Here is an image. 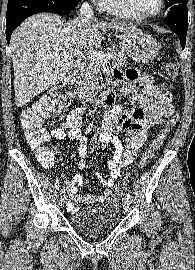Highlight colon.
Returning <instances> with one entry per match:
<instances>
[{
  "instance_id": "colon-1",
  "label": "colon",
  "mask_w": 195,
  "mask_h": 270,
  "mask_svg": "<svg viewBox=\"0 0 195 270\" xmlns=\"http://www.w3.org/2000/svg\"><path fill=\"white\" fill-rule=\"evenodd\" d=\"M167 75L172 79H177L179 69L175 63L169 62L165 66ZM77 83L74 80L53 88L47 95L38 102L22 112L20 124L23 133L32 148L37 151L40 162L45 166H50L53 162L54 152L45 146L48 135L42 127L43 121L50 114L59 113L67 107L76 91ZM179 120V114H174L166 123L164 129L153 140L152 144L145 150L139 163L142 170L148 164L153 153L158 149L165 139L170 135ZM125 190V185H118L114 189V195L119 197Z\"/></svg>"
}]
</instances>
